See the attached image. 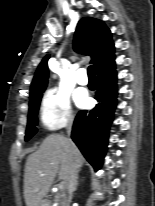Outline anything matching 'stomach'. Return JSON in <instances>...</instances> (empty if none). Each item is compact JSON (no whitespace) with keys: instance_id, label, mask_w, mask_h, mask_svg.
I'll return each mask as SVG.
<instances>
[{"instance_id":"stomach-1","label":"stomach","mask_w":155,"mask_h":206,"mask_svg":"<svg viewBox=\"0 0 155 206\" xmlns=\"http://www.w3.org/2000/svg\"><path fill=\"white\" fill-rule=\"evenodd\" d=\"M38 206H49V204L46 200H43L40 202V204Z\"/></svg>"}]
</instances>
